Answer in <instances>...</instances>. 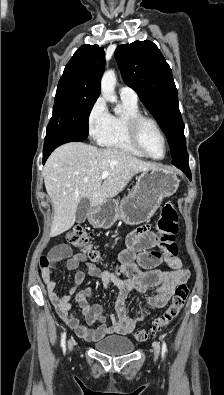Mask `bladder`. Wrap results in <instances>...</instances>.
Instances as JSON below:
<instances>
[{"mask_svg":"<svg viewBox=\"0 0 224 395\" xmlns=\"http://www.w3.org/2000/svg\"><path fill=\"white\" fill-rule=\"evenodd\" d=\"M94 348L99 353L117 356L133 352L135 346L128 337L109 336L96 342Z\"/></svg>","mask_w":224,"mask_h":395,"instance_id":"1","label":"bladder"}]
</instances>
